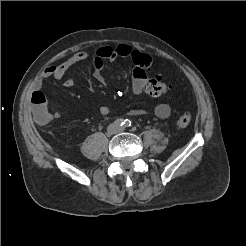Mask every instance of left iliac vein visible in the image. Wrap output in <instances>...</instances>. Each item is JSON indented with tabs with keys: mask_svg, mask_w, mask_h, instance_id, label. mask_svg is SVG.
Returning a JSON list of instances; mask_svg holds the SVG:
<instances>
[{
	"mask_svg": "<svg viewBox=\"0 0 246 246\" xmlns=\"http://www.w3.org/2000/svg\"><path fill=\"white\" fill-rule=\"evenodd\" d=\"M119 131H123V128H119Z\"/></svg>",
	"mask_w": 246,
	"mask_h": 246,
	"instance_id": "obj_1",
	"label": "left iliac vein"
}]
</instances>
